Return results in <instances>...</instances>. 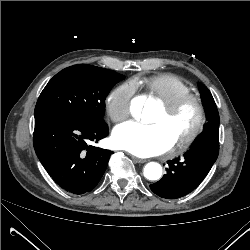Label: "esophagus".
Here are the masks:
<instances>
[{
    "label": "esophagus",
    "instance_id": "1",
    "mask_svg": "<svg viewBox=\"0 0 250 250\" xmlns=\"http://www.w3.org/2000/svg\"><path fill=\"white\" fill-rule=\"evenodd\" d=\"M131 158L136 163H144V162H146L145 159H141V158H138V157H135V156H132Z\"/></svg>",
    "mask_w": 250,
    "mask_h": 250
}]
</instances>
